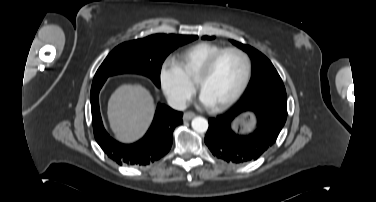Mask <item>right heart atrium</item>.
Here are the masks:
<instances>
[{"label": "right heart atrium", "mask_w": 376, "mask_h": 202, "mask_svg": "<svg viewBox=\"0 0 376 202\" xmlns=\"http://www.w3.org/2000/svg\"><path fill=\"white\" fill-rule=\"evenodd\" d=\"M160 88L168 102L177 109H183L192 98L195 88L170 58L165 59L159 68Z\"/></svg>", "instance_id": "1"}]
</instances>
